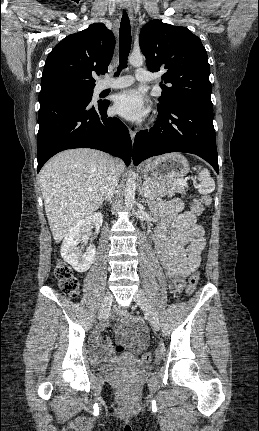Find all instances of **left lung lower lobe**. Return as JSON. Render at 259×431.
<instances>
[{"mask_svg":"<svg viewBox=\"0 0 259 431\" xmlns=\"http://www.w3.org/2000/svg\"><path fill=\"white\" fill-rule=\"evenodd\" d=\"M158 112L155 125L135 136L134 164L164 153L185 152L203 158L218 173L213 105L197 100H177L158 105Z\"/></svg>","mask_w":259,"mask_h":431,"instance_id":"1","label":"left lung lower lobe"}]
</instances>
